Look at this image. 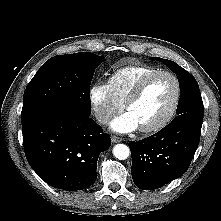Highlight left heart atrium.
I'll use <instances>...</instances> for the list:
<instances>
[{"instance_id":"obj_1","label":"left heart atrium","mask_w":221,"mask_h":221,"mask_svg":"<svg viewBox=\"0 0 221 221\" xmlns=\"http://www.w3.org/2000/svg\"><path fill=\"white\" fill-rule=\"evenodd\" d=\"M111 129L117 133H128L139 128L138 122L130 112L116 117L110 124Z\"/></svg>"}]
</instances>
